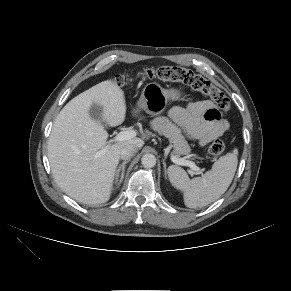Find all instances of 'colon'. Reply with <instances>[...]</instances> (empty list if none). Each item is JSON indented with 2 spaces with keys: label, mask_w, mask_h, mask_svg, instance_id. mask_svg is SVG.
Segmentation results:
<instances>
[{
  "label": "colon",
  "mask_w": 291,
  "mask_h": 291,
  "mask_svg": "<svg viewBox=\"0 0 291 291\" xmlns=\"http://www.w3.org/2000/svg\"><path fill=\"white\" fill-rule=\"evenodd\" d=\"M144 80H161L164 82H179L183 83L193 90L200 92L208 96L216 106L227 112L230 110V102L223 91L214 86L210 81L202 77L201 75L195 74L194 72L175 66H160L157 68L145 69L141 74ZM114 82L122 86L126 83V78L123 76H116ZM225 145L221 140L213 141L209 148L208 153L212 156H219L224 152Z\"/></svg>",
  "instance_id": "1"
}]
</instances>
